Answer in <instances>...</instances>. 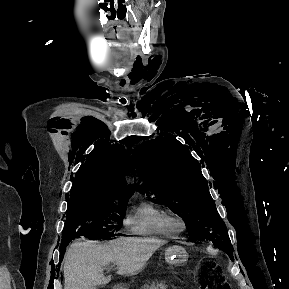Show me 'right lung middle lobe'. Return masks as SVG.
<instances>
[{"label":"right lung middle lobe","mask_w":289,"mask_h":289,"mask_svg":"<svg viewBox=\"0 0 289 289\" xmlns=\"http://www.w3.org/2000/svg\"><path fill=\"white\" fill-rule=\"evenodd\" d=\"M128 198L109 195L70 199L61 245L80 236L89 239L114 236V233L108 231L115 227L110 221L117 222L120 229Z\"/></svg>","instance_id":"obj_1"}]
</instances>
